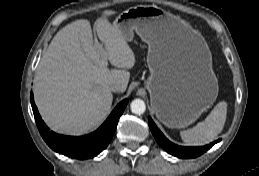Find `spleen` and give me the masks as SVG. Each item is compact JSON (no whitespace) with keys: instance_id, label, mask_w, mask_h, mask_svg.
Returning a JSON list of instances; mask_svg holds the SVG:
<instances>
[{"instance_id":"3e777b00","label":"spleen","mask_w":259,"mask_h":176,"mask_svg":"<svg viewBox=\"0 0 259 176\" xmlns=\"http://www.w3.org/2000/svg\"><path fill=\"white\" fill-rule=\"evenodd\" d=\"M227 118V103L219 102L211 113L193 129L180 132L184 143L191 146H202L214 141L222 132Z\"/></svg>"}]
</instances>
